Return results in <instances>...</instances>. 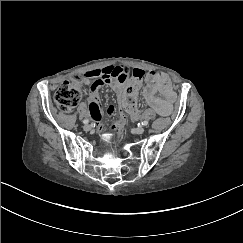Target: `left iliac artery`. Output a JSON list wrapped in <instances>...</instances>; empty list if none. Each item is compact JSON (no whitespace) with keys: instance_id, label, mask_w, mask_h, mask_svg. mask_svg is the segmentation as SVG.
<instances>
[{"instance_id":"obj_1","label":"left iliac artery","mask_w":243,"mask_h":243,"mask_svg":"<svg viewBox=\"0 0 243 243\" xmlns=\"http://www.w3.org/2000/svg\"><path fill=\"white\" fill-rule=\"evenodd\" d=\"M148 121H143V122H141V125H143V126H147L148 125Z\"/></svg>"}]
</instances>
